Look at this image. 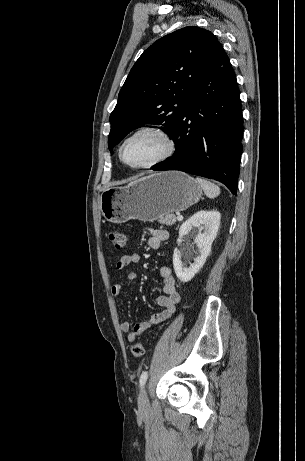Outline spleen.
I'll return each instance as SVG.
<instances>
[{
  "instance_id": "1",
  "label": "spleen",
  "mask_w": 305,
  "mask_h": 461,
  "mask_svg": "<svg viewBox=\"0 0 305 461\" xmlns=\"http://www.w3.org/2000/svg\"><path fill=\"white\" fill-rule=\"evenodd\" d=\"M195 181L201 186L207 197L215 198L220 194V188L214 183L198 177Z\"/></svg>"
}]
</instances>
